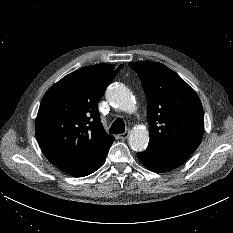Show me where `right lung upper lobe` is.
I'll list each match as a JSON object with an SVG mask.
<instances>
[{
    "label": "right lung upper lobe",
    "instance_id": "1",
    "mask_svg": "<svg viewBox=\"0 0 233 233\" xmlns=\"http://www.w3.org/2000/svg\"><path fill=\"white\" fill-rule=\"evenodd\" d=\"M114 68V64L80 68L55 83L42 98L36 138L46 157L67 174L96 161L114 141L104 131L97 108L119 71Z\"/></svg>",
    "mask_w": 233,
    "mask_h": 233
}]
</instances>
